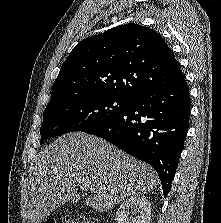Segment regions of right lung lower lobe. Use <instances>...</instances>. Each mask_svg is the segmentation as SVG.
I'll return each instance as SVG.
<instances>
[{
  "label": "right lung lower lobe",
  "instance_id": "98d812e1",
  "mask_svg": "<svg viewBox=\"0 0 221 223\" xmlns=\"http://www.w3.org/2000/svg\"><path fill=\"white\" fill-rule=\"evenodd\" d=\"M189 117V87L183 78L136 96L121 114L85 132L153 166L166 197L184 146Z\"/></svg>",
  "mask_w": 221,
  "mask_h": 223
}]
</instances>
